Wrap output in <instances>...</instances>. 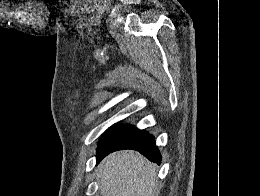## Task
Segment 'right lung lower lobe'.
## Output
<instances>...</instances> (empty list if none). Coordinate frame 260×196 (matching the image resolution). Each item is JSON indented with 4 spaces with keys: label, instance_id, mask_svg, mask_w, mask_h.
Returning <instances> with one entry per match:
<instances>
[{
    "label": "right lung lower lobe",
    "instance_id": "right-lung-lower-lobe-1",
    "mask_svg": "<svg viewBox=\"0 0 260 196\" xmlns=\"http://www.w3.org/2000/svg\"><path fill=\"white\" fill-rule=\"evenodd\" d=\"M133 149L139 151L141 154L146 156L150 161L160 164L161 154L155 146L154 137L148 134L146 131H140L121 145L113 147L111 149L98 151L97 161L99 162L102 158L113 151Z\"/></svg>",
    "mask_w": 260,
    "mask_h": 196
}]
</instances>
